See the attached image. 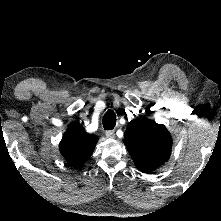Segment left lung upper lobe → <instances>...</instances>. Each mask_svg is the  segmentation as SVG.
Listing matches in <instances>:
<instances>
[{
  "mask_svg": "<svg viewBox=\"0 0 221 221\" xmlns=\"http://www.w3.org/2000/svg\"><path fill=\"white\" fill-rule=\"evenodd\" d=\"M123 142L138 170L145 173L163 165L172 148L166 127L143 117L128 123Z\"/></svg>",
  "mask_w": 221,
  "mask_h": 221,
  "instance_id": "5c2ea615",
  "label": "left lung upper lobe"
}]
</instances>
